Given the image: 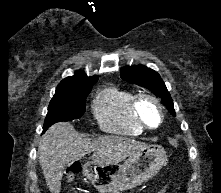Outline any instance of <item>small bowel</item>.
Masks as SVG:
<instances>
[{"instance_id":"c3829d8e","label":"small bowel","mask_w":221,"mask_h":193,"mask_svg":"<svg viewBox=\"0 0 221 193\" xmlns=\"http://www.w3.org/2000/svg\"><path fill=\"white\" fill-rule=\"evenodd\" d=\"M160 193H164V190H162Z\"/></svg>"}]
</instances>
